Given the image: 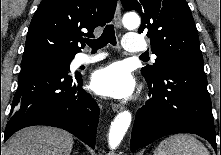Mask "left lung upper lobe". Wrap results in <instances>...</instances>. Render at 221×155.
<instances>
[{
    "instance_id": "1",
    "label": "left lung upper lobe",
    "mask_w": 221,
    "mask_h": 155,
    "mask_svg": "<svg viewBox=\"0 0 221 155\" xmlns=\"http://www.w3.org/2000/svg\"><path fill=\"white\" fill-rule=\"evenodd\" d=\"M126 10H136L142 18L139 33L150 38L151 50L157 55L153 66L141 72L157 78L174 63L203 64L196 26L185 0H121Z\"/></svg>"
}]
</instances>
